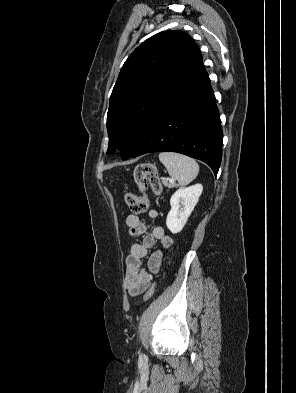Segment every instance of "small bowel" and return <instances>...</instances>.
<instances>
[{"instance_id":"c3829d8e","label":"small bowel","mask_w":296,"mask_h":393,"mask_svg":"<svg viewBox=\"0 0 296 393\" xmlns=\"http://www.w3.org/2000/svg\"><path fill=\"white\" fill-rule=\"evenodd\" d=\"M148 217L151 220H157L159 217L158 211L150 209ZM126 225L130 236H142V243L133 244L126 257L125 284L128 294L134 297L148 289L153 274L157 273L161 266L163 251L156 249L149 256L147 268L142 267V259L147 255L148 250L154 248L157 242H160L164 249H168L172 246L173 241L165 234L161 226H156L151 232L147 233L146 226L136 214H129L126 217Z\"/></svg>"}]
</instances>
